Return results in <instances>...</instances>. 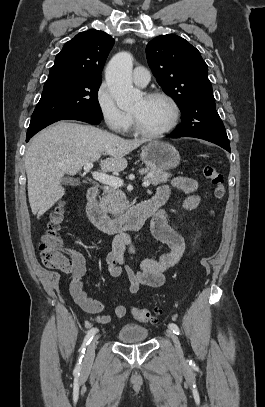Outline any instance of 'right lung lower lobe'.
<instances>
[{
  "mask_svg": "<svg viewBox=\"0 0 265 407\" xmlns=\"http://www.w3.org/2000/svg\"><path fill=\"white\" fill-rule=\"evenodd\" d=\"M68 119L80 120V121L87 122V123H90V124H95V125L100 123V119H97V118H94V117H91V116H85V115L75 116V117H71V118H68ZM32 136H33L32 134L27 135L26 141H28Z\"/></svg>",
  "mask_w": 265,
  "mask_h": 407,
  "instance_id": "1",
  "label": "right lung lower lobe"
}]
</instances>
